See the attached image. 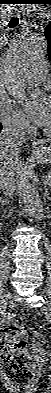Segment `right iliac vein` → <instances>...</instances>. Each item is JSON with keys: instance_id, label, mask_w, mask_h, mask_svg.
<instances>
[{"instance_id": "63e3f726", "label": "right iliac vein", "mask_w": 51, "mask_h": 393, "mask_svg": "<svg viewBox=\"0 0 51 393\" xmlns=\"http://www.w3.org/2000/svg\"><path fill=\"white\" fill-rule=\"evenodd\" d=\"M6 306H7V299L5 298V297H2L1 299H0V309H5L6 308Z\"/></svg>"}]
</instances>
